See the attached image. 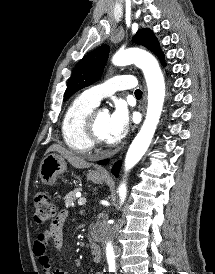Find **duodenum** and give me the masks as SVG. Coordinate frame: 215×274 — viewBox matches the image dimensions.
Wrapping results in <instances>:
<instances>
[{
	"label": "duodenum",
	"instance_id": "duodenum-1",
	"mask_svg": "<svg viewBox=\"0 0 215 274\" xmlns=\"http://www.w3.org/2000/svg\"><path fill=\"white\" fill-rule=\"evenodd\" d=\"M89 248L93 261L95 263H100L102 260V251L100 246L93 239H91L89 242Z\"/></svg>",
	"mask_w": 215,
	"mask_h": 274
}]
</instances>
